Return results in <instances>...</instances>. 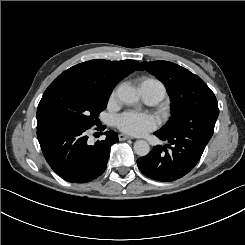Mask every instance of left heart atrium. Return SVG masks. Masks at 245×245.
<instances>
[{
	"label": "left heart atrium",
	"mask_w": 245,
	"mask_h": 245,
	"mask_svg": "<svg viewBox=\"0 0 245 245\" xmlns=\"http://www.w3.org/2000/svg\"><path fill=\"white\" fill-rule=\"evenodd\" d=\"M155 124L156 122L151 116L134 111L126 112L117 119L120 130L130 135H143Z\"/></svg>",
	"instance_id": "39dd6f15"
}]
</instances>
